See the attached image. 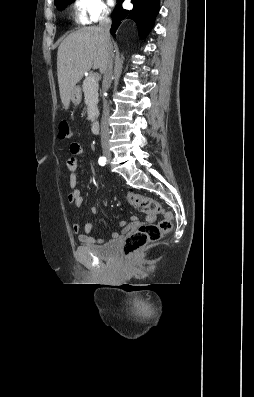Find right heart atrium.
<instances>
[{
  "label": "right heart atrium",
  "mask_w": 254,
  "mask_h": 397,
  "mask_svg": "<svg viewBox=\"0 0 254 397\" xmlns=\"http://www.w3.org/2000/svg\"><path fill=\"white\" fill-rule=\"evenodd\" d=\"M75 19L80 25H88L105 19L108 7L103 0H75Z\"/></svg>",
  "instance_id": "obj_1"
}]
</instances>
